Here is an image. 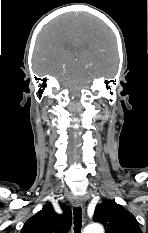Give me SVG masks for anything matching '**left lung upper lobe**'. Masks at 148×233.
Returning <instances> with one entry per match:
<instances>
[{
    "instance_id": "left-lung-upper-lobe-1",
    "label": "left lung upper lobe",
    "mask_w": 148,
    "mask_h": 233,
    "mask_svg": "<svg viewBox=\"0 0 148 233\" xmlns=\"http://www.w3.org/2000/svg\"><path fill=\"white\" fill-rule=\"evenodd\" d=\"M93 220L104 225L105 233H142L136 218L114 201L97 205Z\"/></svg>"
}]
</instances>
